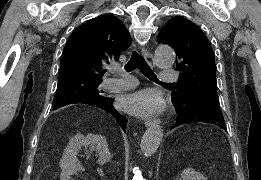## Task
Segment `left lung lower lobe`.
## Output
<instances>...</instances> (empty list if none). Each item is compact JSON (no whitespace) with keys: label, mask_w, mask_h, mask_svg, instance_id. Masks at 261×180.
I'll return each mask as SVG.
<instances>
[{"label":"left lung lower lobe","mask_w":261,"mask_h":180,"mask_svg":"<svg viewBox=\"0 0 261 180\" xmlns=\"http://www.w3.org/2000/svg\"><path fill=\"white\" fill-rule=\"evenodd\" d=\"M172 101L178 114L172 129L188 123L204 122L215 124L226 130L219 104L202 100L199 96L192 93H189L183 100Z\"/></svg>","instance_id":"1"}]
</instances>
